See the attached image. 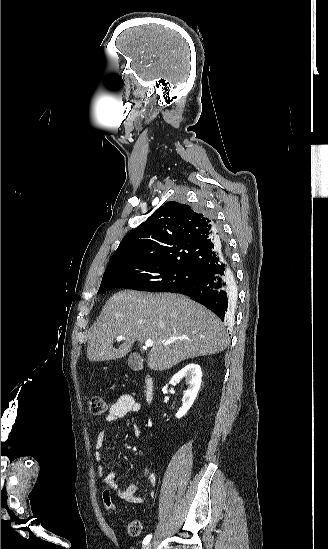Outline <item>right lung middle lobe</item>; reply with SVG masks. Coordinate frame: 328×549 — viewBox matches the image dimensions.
<instances>
[{
    "instance_id": "1",
    "label": "right lung middle lobe",
    "mask_w": 328,
    "mask_h": 549,
    "mask_svg": "<svg viewBox=\"0 0 328 549\" xmlns=\"http://www.w3.org/2000/svg\"><path fill=\"white\" fill-rule=\"evenodd\" d=\"M201 273L182 266L147 261H128L105 272L98 293L113 288L168 292L195 281Z\"/></svg>"
}]
</instances>
